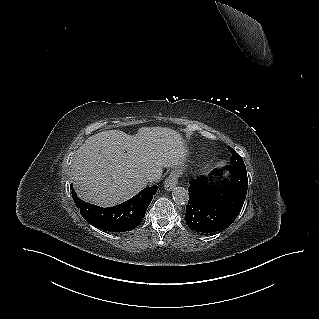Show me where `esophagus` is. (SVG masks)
Masks as SVG:
<instances>
[{"label": "esophagus", "instance_id": "1", "mask_svg": "<svg viewBox=\"0 0 319 319\" xmlns=\"http://www.w3.org/2000/svg\"><path fill=\"white\" fill-rule=\"evenodd\" d=\"M179 172L178 170H173L165 181L164 188L166 191H171L178 182Z\"/></svg>", "mask_w": 319, "mask_h": 319}]
</instances>
